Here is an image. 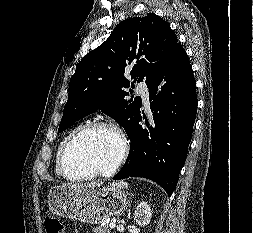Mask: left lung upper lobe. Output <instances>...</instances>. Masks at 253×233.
Instances as JSON below:
<instances>
[{
	"label": "left lung upper lobe",
	"instance_id": "left-lung-upper-lobe-1",
	"mask_svg": "<svg viewBox=\"0 0 253 233\" xmlns=\"http://www.w3.org/2000/svg\"><path fill=\"white\" fill-rule=\"evenodd\" d=\"M178 40L169 24L154 13L120 22L109 38L84 56L69 83L58 133L98 109L130 131L141 107L140 97L126 100L130 72L148 87L162 74ZM133 85V83H131Z\"/></svg>",
	"mask_w": 253,
	"mask_h": 233
}]
</instances>
